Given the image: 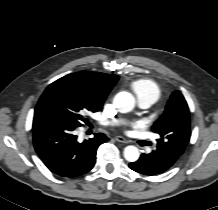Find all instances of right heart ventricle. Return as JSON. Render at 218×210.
<instances>
[{
  "label": "right heart ventricle",
  "instance_id": "obj_1",
  "mask_svg": "<svg viewBox=\"0 0 218 210\" xmlns=\"http://www.w3.org/2000/svg\"><path fill=\"white\" fill-rule=\"evenodd\" d=\"M132 89L137 98H148L154 103L160 96L159 86L152 80L140 79L132 83Z\"/></svg>",
  "mask_w": 218,
  "mask_h": 210
}]
</instances>
